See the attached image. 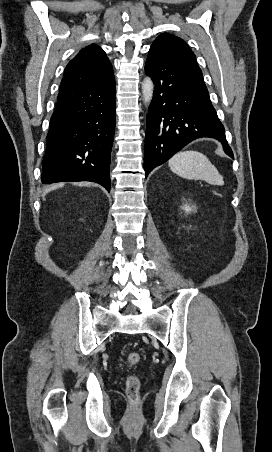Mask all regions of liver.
Instances as JSON below:
<instances>
[{
  "label": "liver",
  "mask_w": 272,
  "mask_h": 452,
  "mask_svg": "<svg viewBox=\"0 0 272 452\" xmlns=\"http://www.w3.org/2000/svg\"><path fill=\"white\" fill-rule=\"evenodd\" d=\"M62 185H63V184L53 186V187L50 188V190H51V189H56V188H58L59 186H62Z\"/></svg>",
  "instance_id": "6515ba94"
}]
</instances>
